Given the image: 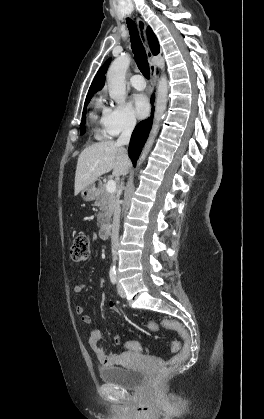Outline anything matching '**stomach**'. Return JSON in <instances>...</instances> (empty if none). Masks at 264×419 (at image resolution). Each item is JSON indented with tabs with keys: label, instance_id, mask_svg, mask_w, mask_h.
<instances>
[{
	"label": "stomach",
	"instance_id": "1",
	"mask_svg": "<svg viewBox=\"0 0 264 419\" xmlns=\"http://www.w3.org/2000/svg\"><path fill=\"white\" fill-rule=\"evenodd\" d=\"M81 196L86 202L93 201L98 196V190L94 184L88 185L81 191Z\"/></svg>",
	"mask_w": 264,
	"mask_h": 419
}]
</instances>
